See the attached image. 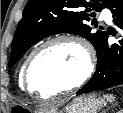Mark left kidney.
<instances>
[{
	"label": "left kidney",
	"instance_id": "1",
	"mask_svg": "<svg viewBox=\"0 0 123 113\" xmlns=\"http://www.w3.org/2000/svg\"><path fill=\"white\" fill-rule=\"evenodd\" d=\"M118 113H123V110H121V111H118Z\"/></svg>",
	"mask_w": 123,
	"mask_h": 113
}]
</instances>
